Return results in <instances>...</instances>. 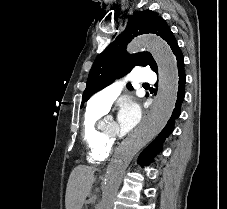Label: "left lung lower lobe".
<instances>
[{"mask_svg":"<svg viewBox=\"0 0 227 209\" xmlns=\"http://www.w3.org/2000/svg\"><path fill=\"white\" fill-rule=\"evenodd\" d=\"M175 56L177 60L178 73H179V86H178L177 101L175 103V109L173 110L167 125L163 128V130L159 133V135L154 139V141L142 152L141 156L138 159V163L140 165L151 162L153 157L162 150L163 142L172 132L175 119L180 114L181 103L183 102L184 95H185L184 86H185L186 75L184 72V58L179 47L175 51Z\"/></svg>","mask_w":227,"mask_h":209,"instance_id":"left-lung-lower-lobe-1","label":"left lung lower lobe"}]
</instances>
